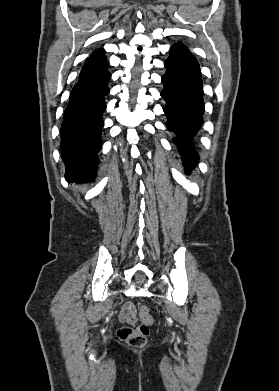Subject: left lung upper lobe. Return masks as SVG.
<instances>
[{
    "label": "left lung upper lobe",
    "mask_w": 279,
    "mask_h": 391,
    "mask_svg": "<svg viewBox=\"0 0 279 391\" xmlns=\"http://www.w3.org/2000/svg\"><path fill=\"white\" fill-rule=\"evenodd\" d=\"M175 47H180V48H186L184 45H182L181 43H177L175 45H173Z\"/></svg>",
    "instance_id": "5c2ea615"
}]
</instances>
